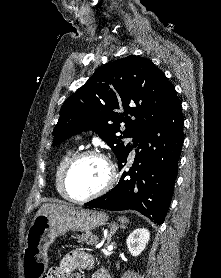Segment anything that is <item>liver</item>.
Returning <instances> with one entry per match:
<instances>
[{
	"label": "liver",
	"mask_w": 221,
	"mask_h": 278,
	"mask_svg": "<svg viewBox=\"0 0 221 278\" xmlns=\"http://www.w3.org/2000/svg\"><path fill=\"white\" fill-rule=\"evenodd\" d=\"M72 209H74V208L69 207L67 205L45 203L40 207V209L37 211L36 215H40L43 213H55V214L65 213Z\"/></svg>",
	"instance_id": "1"
}]
</instances>
